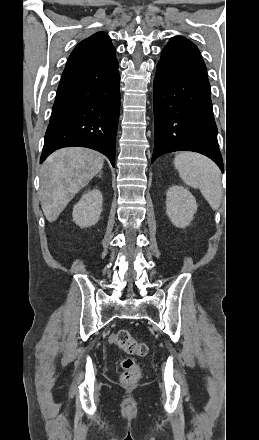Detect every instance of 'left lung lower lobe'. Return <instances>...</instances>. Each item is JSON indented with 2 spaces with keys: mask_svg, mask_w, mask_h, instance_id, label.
Segmentation results:
<instances>
[{
  "mask_svg": "<svg viewBox=\"0 0 259 440\" xmlns=\"http://www.w3.org/2000/svg\"><path fill=\"white\" fill-rule=\"evenodd\" d=\"M207 69L198 48L175 36L161 52L154 79L155 143L152 163L174 151H194L223 171Z\"/></svg>",
  "mask_w": 259,
  "mask_h": 440,
  "instance_id": "0a47b994",
  "label": "left lung lower lobe"
}]
</instances>
